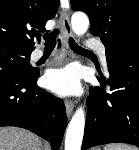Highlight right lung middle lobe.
Segmentation results:
<instances>
[{"label":"right lung middle lobe","mask_w":139,"mask_h":150,"mask_svg":"<svg viewBox=\"0 0 139 150\" xmlns=\"http://www.w3.org/2000/svg\"><path fill=\"white\" fill-rule=\"evenodd\" d=\"M30 55L31 52L0 45V68H14L25 74L33 73L35 70L29 62Z\"/></svg>","instance_id":"right-lung-middle-lobe-1"}]
</instances>
